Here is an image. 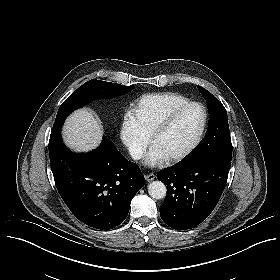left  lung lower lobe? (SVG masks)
Instances as JSON below:
<instances>
[{"label":"left lung lower lobe","instance_id":"left-lung-lower-lobe-1","mask_svg":"<svg viewBox=\"0 0 280 280\" xmlns=\"http://www.w3.org/2000/svg\"><path fill=\"white\" fill-rule=\"evenodd\" d=\"M231 162L212 160L164 169L157 178L167 185L160 216L170 227L185 230L200 224L217 205Z\"/></svg>","mask_w":280,"mask_h":280}]
</instances>
